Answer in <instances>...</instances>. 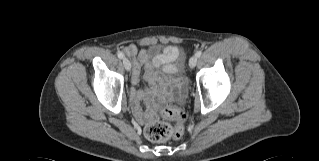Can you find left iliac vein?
Listing matches in <instances>:
<instances>
[{"instance_id":"obj_1","label":"left iliac vein","mask_w":319,"mask_h":161,"mask_svg":"<svg viewBox=\"0 0 319 161\" xmlns=\"http://www.w3.org/2000/svg\"><path fill=\"white\" fill-rule=\"evenodd\" d=\"M197 64V56H192L189 61V66L194 68Z\"/></svg>"}]
</instances>
